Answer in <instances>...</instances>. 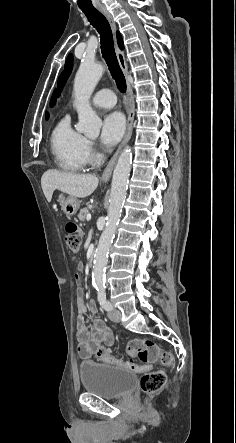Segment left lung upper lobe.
Returning a JSON list of instances; mask_svg holds the SVG:
<instances>
[{
  "mask_svg": "<svg viewBox=\"0 0 236 443\" xmlns=\"http://www.w3.org/2000/svg\"><path fill=\"white\" fill-rule=\"evenodd\" d=\"M72 67H73V56H72V54H69L66 59V62H65L64 71L62 72V74L60 75V77L58 79L57 91H55L53 93L52 101L50 103L51 106H53L54 103L56 102V97L60 95V92H61L67 78L69 77V75L72 71Z\"/></svg>",
  "mask_w": 236,
  "mask_h": 443,
  "instance_id": "5c2ea615",
  "label": "left lung upper lobe"
}]
</instances>
